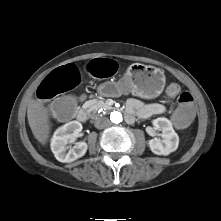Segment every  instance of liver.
Instances as JSON below:
<instances>
[{
	"mask_svg": "<svg viewBox=\"0 0 221 221\" xmlns=\"http://www.w3.org/2000/svg\"><path fill=\"white\" fill-rule=\"evenodd\" d=\"M27 118L34 137L42 145H45L49 139L51 125L49 114L39 100L31 99L29 101L27 107Z\"/></svg>",
	"mask_w": 221,
	"mask_h": 221,
	"instance_id": "1",
	"label": "liver"
}]
</instances>
